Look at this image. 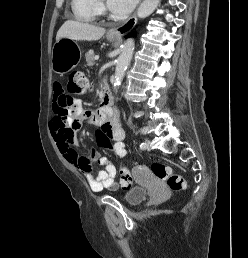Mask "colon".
<instances>
[{
	"instance_id": "colon-1",
	"label": "colon",
	"mask_w": 248,
	"mask_h": 258,
	"mask_svg": "<svg viewBox=\"0 0 248 258\" xmlns=\"http://www.w3.org/2000/svg\"><path fill=\"white\" fill-rule=\"evenodd\" d=\"M88 86V80L83 73L74 72L70 76L69 92L72 95L85 94L88 91ZM101 135L103 138H106L102 133ZM106 149H108L110 154H114L115 144H106ZM114 158L119 159L118 169H121L122 186L130 187L132 185V175L127 170L129 162L126 161L125 158H121L120 154H115ZM150 170L156 179L164 181L171 190L178 192L186 188V182L184 178L181 175L175 173L170 166L160 162H154L151 164Z\"/></svg>"
}]
</instances>
